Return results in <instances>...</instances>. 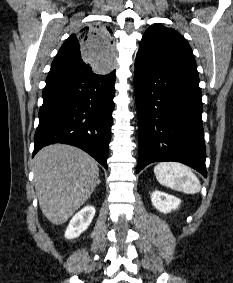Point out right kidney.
Instances as JSON below:
<instances>
[{
    "mask_svg": "<svg viewBox=\"0 0 233 283\" xmlns=\"http://www.w3.org/2000/svg\"><path fill=\"white\" fill-rule=\"evenodd\" d=\"M95 215V208L93 206H86L80 210L71 219L66 231L65 238L73 239L78 237L85 231L93 220Z\"/></svg>",
    "mask_w": 233,
    "mask_h": 283,
    "instance_id": "obj_1",
    "label": "right kidney"
}]
</instances>
